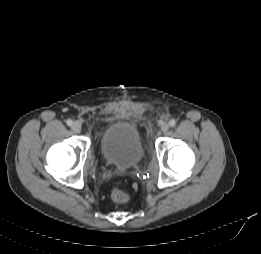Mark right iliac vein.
I'll return each instance as SVG.
<instances>
[{
  "instance_id": "right-iliac-vein-1",
  "label": "right iliac vein",
  "mask_w": 261,
  "mask_h": 254,
  "mask_svg": "<svg viewBox=\"0 0 261 254\" xmlns=\"http://www.w3.org/2000/svg\"><path fill=\"white\" fill-rule=\"evenodd\" d=\"M71 128L75 133L81 132V125L78 122L73 123Z\"/></svg>"
}]
</instances>
